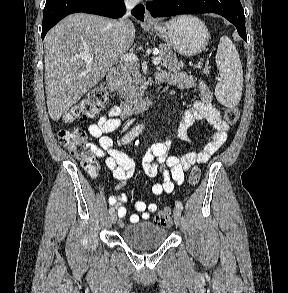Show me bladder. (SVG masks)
<instances>
[{"label":"bladder","mask_w":288,"mask_h":293,"mask_svg":"<svg viewBox=\"0 0 288 293\" xmlns=\"http://www.w3.org/2000/svg\"><path fill=\"white\" fill-rule=\"evenodd\" d=\"M121 237L125 243L136 249H153L167 239V230L152 222H138L123 228Z\"/></svg>","instance_id":"bladder-1"}]
</instances>
